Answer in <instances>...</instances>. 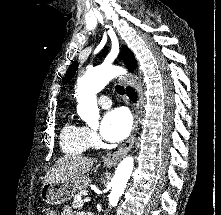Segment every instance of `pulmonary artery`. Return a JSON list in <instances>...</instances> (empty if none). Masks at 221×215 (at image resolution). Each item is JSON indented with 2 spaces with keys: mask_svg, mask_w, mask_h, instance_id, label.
I'll return each mask as SVG.
<instances>
[{
  "mask_svg": "<svg viewBox=\"0 0 221 215\" xmlns=\"http://www.w3.org/2000/svg\"><path fill=\"white\" fill-rule=\"evenodd\" d=\"M98 104L102 108H109L111 106L112 102L108 96L102 95L98 100Z\"/></svg>",
  "mask_w": 221,
  "mask_h": 215,
  "instance_id": "pulmonary-artery-1",
  "label": "pulmonary artery"
}]
</instances>
